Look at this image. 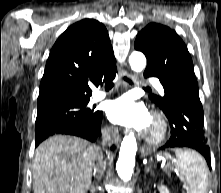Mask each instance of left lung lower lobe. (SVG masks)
<instances>
[{
	"instance_id": "1",
	"label": "left lung lower lobe",
	"mask_w": 221,
	"mask_h": 193,
	"mask_svg": "<svg viewBox=\"0 0 221 193\" xmlns=\"http://www.w3.org/2000/svg\"><path fill=\"white\" fill-rule=\"evenodd\" d=\"M144 75L159 78L165 91L167 108L163 111L170 121L171 137L161 149L192 148L205 157L211 169L210 148L203 128L204 113L197 81L166 78L150 68L145 70Z\"/></svg>"
}]
</instances>
